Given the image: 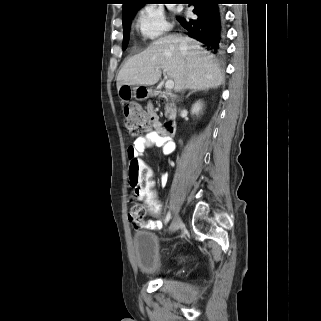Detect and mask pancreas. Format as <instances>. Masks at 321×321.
Segmentation results:
<instances>
[{
	"label": "pancreas",
	"mask_w": 321,
	"mask_h": 321,
	"mask_svg": "<svg viewBox=\"0 0 321 321\" xmlns=\"http://www.w3.org/2000/svg\"><path fill=\"white\" fill-rule=\"evenodd\" d=\"M175 114L174 105L171 103H167L165 106V116L167 118H171Z\"/></svg>",
	"instance_id": "cf45deb5"
}]
</instances>
